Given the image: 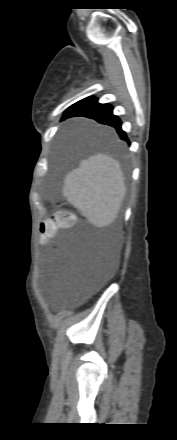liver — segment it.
<instances>
[{"label": "liver", "mask_w": 177, "mask_h": 440, "mask_svg": "<svg viewBox=\"0 0 177 440\" xmlns=\"http://www.w3.org/2000/svg\"><path fill=\"white\" fill-rule=\"evenodd\" d=\"M62 192L92 225L107 227L117 218L126 195L121 165L106 153H96L66 175Z\"/></svg>", "instance_id": "liver-1"}]
</instances>
